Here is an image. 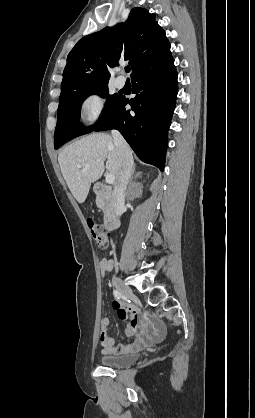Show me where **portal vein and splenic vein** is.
<instances>
[{"instance_id":"obj_1","label":"portal vein and splenic vein","mask_w":255,"mask_h":418,"mask_svg":"<svg viewBox=\"0 0 255 418\" xmlns=\"http://www.w3.org/2000/svg\"><path fill=\"white\" fill-rule=\"evenodd\" d=\"M78 168H81L80 165L77 166ZM106 183L107 184H113L115 182V175L113 174H107L105 177Z\"/></svg>"}]
</instances>
